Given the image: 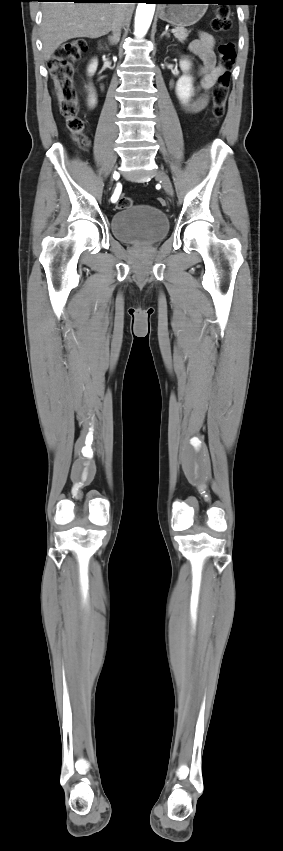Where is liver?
Masks as SVG:
<instances>
[{
  "label": "liver",
  "mask_w": 283,
  "mask_h": 851,
  "mask_svg": "<svg viewBox=\"0 0 283 851\" xmlns=\"http://www.w3.org/2000/svg\"><path fill=\"white\" fill-rule=\"evenodd\" d=\"M123 10L125 22H129L134 10L132 3L45 2L41 23L44 60L48 61L55 50L70 39H95L108 34Z\"/></svg>",
  "instance_id": "liver-1"
}]
</instances>
